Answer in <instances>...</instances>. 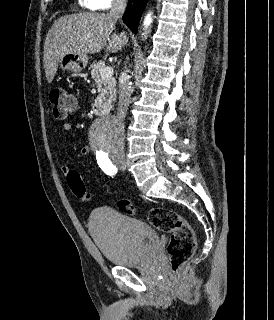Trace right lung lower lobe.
I'll list each match as a JSON object with an SVG mask.
<instances>
[{"mask_svg":"<svg viewBox=\"0 0 274 320\" xmlns=\"http://www.w3.org/2000/svg\"><path fill=\"white\" fill-rule=\"evenodd\" d=\"M146 0H129L126 11L122 17L124 23L134 32H137L142 10Z\"/></svg>","mask_w":274,"mask_h":320,"instance_id":"1","label":"right lung lower lobe"}]
</instances>
